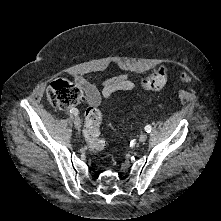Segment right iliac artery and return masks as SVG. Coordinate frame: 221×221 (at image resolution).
<instances>
[{
    "label": "right iliac artery",
    "mask_w": 221,
    "mask_h": 221,
    "mask_svg": "<svg viewBox=\"0 0 221 221\" xmlns=\"http://www.w3.org/2000/svg\"><path fill=\"white\" fill-rule=\"evenodd\" d=\"M70 112H71V114H73V115H78V113H79L78 109H76V108H71V109H70Z\"/></svg>",
    "instance_id": "obj_1"
}]
</instances>
